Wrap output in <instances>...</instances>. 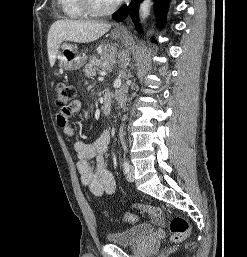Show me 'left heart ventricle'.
<instances>
[{"label":"left heart ventricle","mask_w":247,"mask_h":257,"mask_svg":"<svg viewBox=\"0 0 247 257\" xmlns=\"http://www.w3.org/2000/svg\"><path fill=\"white\" fill-rule=\"evenodd\" d=\"M95 5L100 8H104L112 3L114 0H93Z\"/></svg>","instance_id":"obj_1"}]
</instances>
